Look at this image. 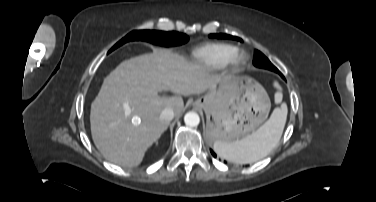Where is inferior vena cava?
<instances>
[{
  "label": "inferior vena cava",
  "mask_w": 376,
  "mask_h": 202,
  "mask_svg": "<svg viewBox=\"0 0 376 202\" xmlns=\"http://www.w3.org/2000/svg\"><path fill=\"white\" fill-rule=\"evenodd\" d=\"M173 118H174V111L170 107L165 108L160 114V119L165 120V121H171Z\"/></svg>",
  "instance_id": "obj_1"
}]
</instances>
